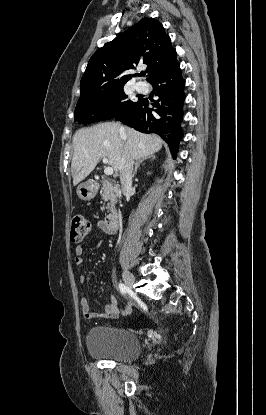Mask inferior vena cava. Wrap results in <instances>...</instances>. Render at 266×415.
Here are the masks:
<instances>
[{
    "label": "inferior vena cava",
    "instance_id": "obj_1",
    "mask_svg": "<svg viewBox=\"0 0 266 415\" xmlns=\"http://www.w3.org/2000/svg\"><path fill=\"white\" fill-rule=\"evenodd\" d=\"M133 159L126 155L122 161L120 167V182L122 193L127 196L132 188V171H133Z\"/></svg>",
    "mask_w": 266,
    "mask_h": 415
}]
</instances>
